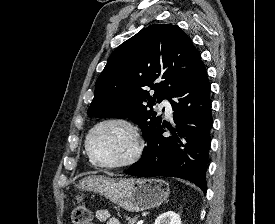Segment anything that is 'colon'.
Segmentation results:
<instances>
[{"label": "colon", "mask_w": 275, "mask_h": 224, "mask_svg": "<svg viewBox=\"0 0 275 224\" xmlns=\"http://www.w3.org/2000/svg\"><path fill=\"white\" fill-rule=\"evenodd\" d=\"M72 224H92L91 211L81 201L80 197L76 198V206L71 213Z\"/></svg>", "instance_id": "obj_1"}]
</instances>
